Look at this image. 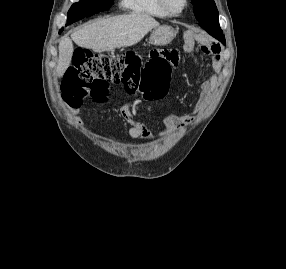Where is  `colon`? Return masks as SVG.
<instances>
[{
    "label": "colon",
    "mask_w": 286,
    "mask_h": 269,
    "mask_svg": "<svg viewBox=\"0 0 286 269\" xmlns=\"http://www.w3.org/2000/svg\"><path fill=\"white\" fill-rule=\"evenodd\" d=\"M177 56L175 50H154L150 60L144 62L130 51L99 55L88 48H79L63 86V100L77 107L84 96L101 99L110 83L124 85L130 94L157 99L169 86L172 61Z\"/></svg>",
    "instance_id": "1"
}]
</instances>
